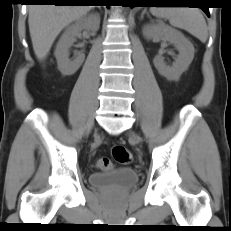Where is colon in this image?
I'll return each instance as SVG.
<instances>
[{"mask_svg":"<svg viewBox=\"0 0 231 231\" xmlns=\"http://www.w3.org/2000/svg\"><path fill=\"white\" fill-rule=\"evenodd\" d=\"M112 158L123 165H130L134 161L133 154L124 146L118 145L112 149ZM113 166L109 158H101L97 161V167L102 170H109Z\"/></svg>","mask_w":231,"mask_h":231,"instance_id":"colon-1","label":"colon"}]
</instances>
